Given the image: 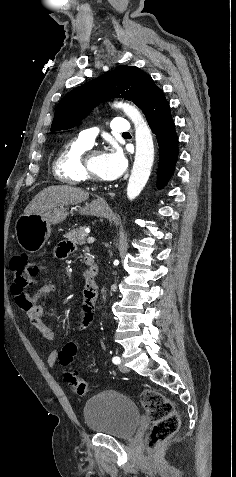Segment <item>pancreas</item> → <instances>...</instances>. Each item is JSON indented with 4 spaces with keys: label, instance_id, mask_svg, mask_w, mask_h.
I'll use <instances>...</instances> for the list:
<instances>
[{
    "label": "pancreas",
    "instance_id": "pancreas-1",
    "mask_svg": "<svg viewBox=\"0 0 236 477\" xmlns=\"http://www.w3.org/2000/svg\"><path fill=\"white\" fill-rule=\"evenodd\" d=\"M85 226H81L75 230H72L64 235L69 241L74 244L82 245L85 244V239L87 234L85 233Z\"/></svg>",
    "mask_w": 236,
    "mask_h": 477
}]
</instances>
